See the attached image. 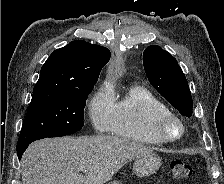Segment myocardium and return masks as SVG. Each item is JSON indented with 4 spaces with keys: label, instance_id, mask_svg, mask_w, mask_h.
<instances>
[{
    "label": "myocardium",
    "instance_id": "myocardium-1",
    "mask_svg": "<svg viewBox=\"0 0 224 184\" xmlns=\"http://www.w3.org/2000/svg\"><path fill=\"white\" fill-rule=\"evenodd\" d=\"M152 132L161 142L172 143L182 138L185 127L177 115L169 112L154 117Z\"/></svg>",
    "mask_w": 224,
    "mask_h": 184
}]
</instances>
